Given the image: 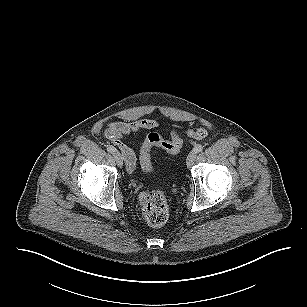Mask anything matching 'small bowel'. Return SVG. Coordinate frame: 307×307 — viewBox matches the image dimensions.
Here are the masks:
<instances>
[{
  "label": "small bowel",
  "mask_w": 307,
  "mask_h": 307,
  "mask_svg": "<svg viewBox=\"0 0 307 307\" xmlns=\"http://www.w3.org/2000/svg\"><path fill=\"white\" fill-rule=\"evenodd\" d=\"M158 126L154 119L142 118L130 122L115 121L108 124L106 137L122 152L127 170L132 172L136 165V155L133 149L124 139L138 133L141 130H153Z\"/></svg>",
  "instance_id": "obj_1"
}]
</instances>
